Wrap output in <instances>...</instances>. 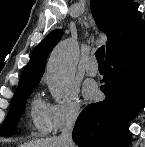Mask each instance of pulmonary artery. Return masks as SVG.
Listing matches in <instances>:
<instances>
[{
  "label": "pulmonary artery",
  "instance_id": "1",
  "mask_svg": "<svg viewBox=\"0 0 145 147\" xmlns=\"http://www.w3.org/2000/svg\"><path fill=\"white\" fill-rule=\"evenodd\" d=\"M85 71L90 76H96L98 74V66L96 65L94 57L90 58L86 63Z\"/></svg>",
  "mask_w": 145,
  "mask_h": 147
}]
</instances>
